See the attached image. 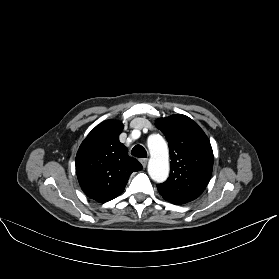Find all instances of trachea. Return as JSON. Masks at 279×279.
Wrapping results in <instances>:
<instances>
[{"instance_id":"3493384b","label":"trachea","mask_w":279,"mask_h":279,"mask_svg":"<svg viewBox=\"0 0 279 279\" xmlns=\"http://www.w3.org/2000/svg\"><path fill=\"white\" fill-rule=\"evenodd\" d=\"M131 154L135 157H138V158H146L147 157V152L144 149V147H142L141 145H136L132 149Z\"/></svg>"}]
</instances>
